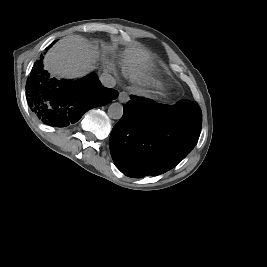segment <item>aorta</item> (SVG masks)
I'll list each match as a JSON object with an SVG mask.
<instances>
[{"label": "aorta", "instance_id": "762f6f07", "mask_svg": "<svg viewBox=\"0 0 267 267\" xmlns=\"http://www.w3.org/2000/svg\"><path fill=\"white\" fill-rule=\"evenodd\" d=\"M123 106L120 103H112L108 108V116L111 119H120L123 115Z\"/></svg>", "mask_w": 267, "mask_h": 267}]
</instances>
